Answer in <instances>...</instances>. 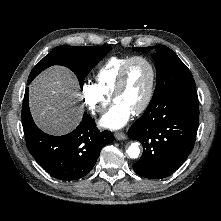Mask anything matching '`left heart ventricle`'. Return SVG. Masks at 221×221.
Returning <instances> with one entry per match:
<instances>
[{
  "label": "left heart ventricle",
  "mask_w": 221,
  "mask_h": 221,
  "mask_svg": "<svg viewBox=\"0 0 221 221\" xmlns=\"http://www.w3.org/2000/svg\"><path fill=\"white\" fill-rule=\"evenodd\" d=\"M150 78V70L144 62H133L127 72L125 87L114 102L124 105L133 113L147 94Z\"/></svg>",
  "instance_id": "left-heart-ventricle-1"
}]
</instances>
